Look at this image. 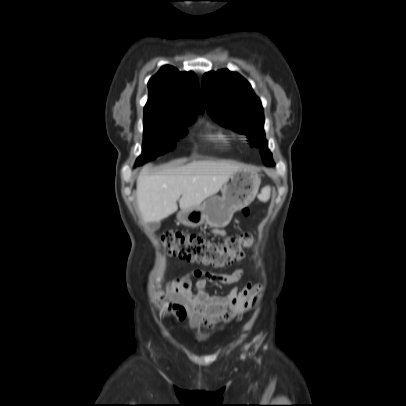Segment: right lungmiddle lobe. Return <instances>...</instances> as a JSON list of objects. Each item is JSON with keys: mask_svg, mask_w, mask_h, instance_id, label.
Here are the masks:
<instances>
[{"mask_svg": "<svg viewBox=\"0 0 406 406\" xmlns=\"http://www.w3.org/2000/svg\"><path fill=\"white\" fill-rule=\"evenodd\" d=\"M193 121H144L142 155L137 159L136 165H141L173 150L175 141L187 134L186 126Z\"/></svg>", "mask_w": 406, "mask_h": 406, "instance_id": "obj_1", "label": "right lung middle lobe"}]
</instances>
